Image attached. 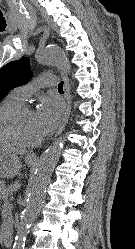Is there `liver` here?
<instances>
[{"label": "liver", "mask_w": 135, "mask_h": 249, "mask_svg": "<svg viewBox=\"0 0 135 249\" xmlns=\"http://www.w3.org/2000/svg\"><path fill=\"white\" fill-rule=\"evenodd\" d=\"M3 149L15 155H23L25 153L24 150L12 148V147H4Z\"/></svg>", "instance_id": "liver-1"}]
</instances>
